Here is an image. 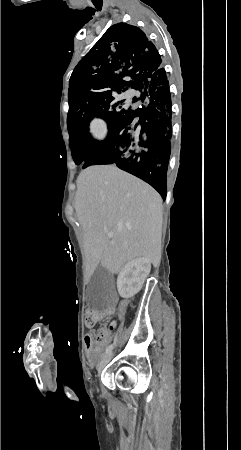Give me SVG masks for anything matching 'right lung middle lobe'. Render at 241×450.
<instances>
[{
	"instance_id": "dd1d6c3e",
	"label": "right lung middle lobe",
	"mask_w": 241,
	"mask_h": 450,
	"mask_svg": "<svg viewBox=\"0 0 241 450\" xmlns=\"http://www.w3.org/2000/svg\"><path fill=\"white\" fill-rule=\"evenodd\" d=\"M68 98L67 125L69 132L73 125L81 119L89 122L94 117H100L107 122L110 133L120 124L137 119L145 105L141 96L130 99L125 97L118 88L95 85L72 75L69 81ZM140 140V137H136L123 149L122 154ZM72 156L77 165L84 164L88 158L77 153H72Z\"/></svg>"
}]
</instances>
